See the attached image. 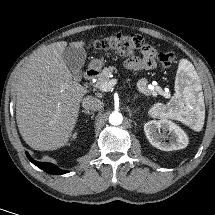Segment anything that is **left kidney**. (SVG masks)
I'll list each match as a JSON object with an SVG mask.
<instances>
[{
	"mask_svg": "<svg viewBox=\"0 0 215 215\" xmlns=\"http://www.w3.org/2000/svg\"><path fill=\"white\" fill-rule=\"evenodd\" d=\"M160 130L163 133H160ZM144 131L149 142L156 148L163 151L179 150L187 147L188 136L176 124L163 118L159 121H149L144 125ZM169 133V143L165 142Z\"/></svg>",
	"mask_w": 215,
	"mask_h": 215,
	"instance_id": "left-kidney-1",
	"label": "left kidney"
}]
</instances>
